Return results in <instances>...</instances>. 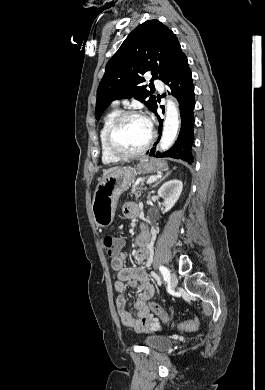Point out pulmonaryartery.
<instances>
[{
    "label": "pulmonary artery",
    "instance_id": "pulmonary-artery-1",
    "mask_svg": "<svg viewBox=\"0 0 265 390\" xmlns=\"http://www.w3.org/2000/svg\"><path fill=\"white\" fill-rule=\"evenodd\" d=\"M154 85H155V87H156L158 90H163V88H164V84H163V82L160 81V80H155V81H154Z\"/></svg>",
    "mask_w": 265,
    "mask_h": 390
}]
</instances>
